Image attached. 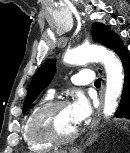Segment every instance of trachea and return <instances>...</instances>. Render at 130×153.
I'll use <instances>...</instances> for the list:
<instances>
[{
	"instance_id": "obj_1",
	"label": "trachea",
	"mask_w": 130,
	"mask_h": 153,
	"mask_svg": "<svg viewBox=\"0 0 130 153\" xmlns=\"http://www.w3.org/2000/svg\"><path fill=\"white\" fill-rule=\"evenodd\" d=\"M94 85L97 86V87L101 86V79L98 78V79L95 81Z\"/></svg>"
}]
</instances>
